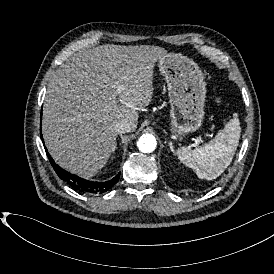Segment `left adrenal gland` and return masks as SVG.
I'll return each mask as SVG.
<instances>
[{
  "label": "left adrenal gland",
  "instance_id": "left-adrenal-gland-1",
  "mask_svg": "<svg viewBox=\"0 0 274 274\" xmlns=\"http://www.w3.org/2000/svg\"><path fill=\"white\" fill-rule=\"evenodd\" d=\"M170 150L173 151V145L172 144H170Z\"/></svg>",
  "mask_w": 274,
  "mask_h": 274
}]
</instances>
